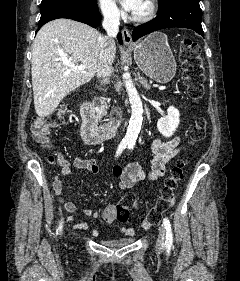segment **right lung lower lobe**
Returning a JSON list of instances; mask_svg holds the SVG:
<instances>
[{"instance_id":"1","label":"right lung lower lobe","mask_w":240,"mask_h":281,"mask_svg":"<svg viewBox=\"0 0 240 281\" xmlns=\"http://www.w3.org/2000/svg\"><path fill=\"white\" fill-rule=\"evenodd\" d=\"M58 18L73 19L96 28L100 24L101 14L99 13L98 7L95 9H90L70 4L55 5L41 11L38 30L45 23ZM118 40L121 44L122 37L120 33L118 34Z\"/></svg>"}]
</instances>
